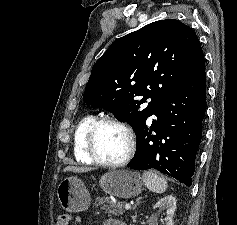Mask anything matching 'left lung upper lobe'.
Here are the masks:
<instances>
[{"label":"left lung upper lobe","instance_id":"1","mask_svg":"<svg viewBox=\"0 0 237 225\" xmlns=\"http://www.w3.org/2000/svg\"><path fill=\"white\" fill-rule=\"evenodd\" d=\"M205 78L204 55L194 31L175 19L160 20L111 44L94 64L83 100L113 112L135 132L157 101ZM148 98L151 102L144 108Z\"/></svg>","mask_w":237,"mask_h":225}]
</instances>
